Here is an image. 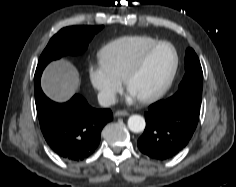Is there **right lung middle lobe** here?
I'll list each match as a JSON object with an SVG mask.
<instances>
[{
    "instance_id": "dd1d6c3e",
    "label": "right lung middle lobe",
    "mask_w": 236,
    "mask_h": 187,
    "mask_svg": "<svg viewBox=\"0 0 236 187\" xmlns=\"http://www.w3.org/2000/svg\"><path fill=\"white\" fill-rule=\"evenodd\" d=\"M103 26H71L61 29L55 34L42 52L36 68L34 81H39L46 65L65 55L82 53L93 36Z\"/></svg>"
}]
</instances>
